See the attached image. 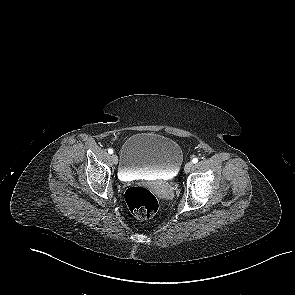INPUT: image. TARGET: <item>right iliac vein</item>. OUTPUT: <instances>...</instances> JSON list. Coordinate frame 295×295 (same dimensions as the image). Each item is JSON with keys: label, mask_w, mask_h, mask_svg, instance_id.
I'll return each instance as SVG.
<instances>
[{"label": "right iliac vein", "mask_w": 295, "mask_h": 295, "mask_svg": "<svg viewBox=\"0 0 295 295\" xmlns=\"http://www.w3.org/2000/svg\"><path fill=\"white\" fill-rule=\"evenodd\" d=\"M111 160H112V162H113L114 164H117V163H118V157H117V155H116V154H113V155L111 156Z\"/></svg>", "instance_id": "obj_1"}]
</instances>
